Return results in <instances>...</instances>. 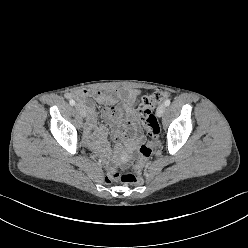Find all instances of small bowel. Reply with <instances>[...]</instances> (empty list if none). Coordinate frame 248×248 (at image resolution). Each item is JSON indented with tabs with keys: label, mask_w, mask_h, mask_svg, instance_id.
I'll return each instance as SVG.
<instances>
[{
	"label": "small bowel",
	"mask_w": 248,
	"mask_h": 248,
	"mask_svg": "<svg viewBox=\"0 0 248 248\" xmlns=\"http://www.w3.org/2000/svg\"><path fill=\"white\" fill-rule=\"evenodd\" d=\"M70 96L82 102L88 112L84 139L91 150L124 160L131 156L138 145L144 141L132 108V103L138 97L137 90L130 88H119L107 92L83 90L71 93ZM92 100L106 106L100 114L104 122L99 126H97L99 116ZM109 135L114 141L113 149L108 141Z\"/></svg>",
	"instance_id": "c3829d8e"
}]
</instances>
